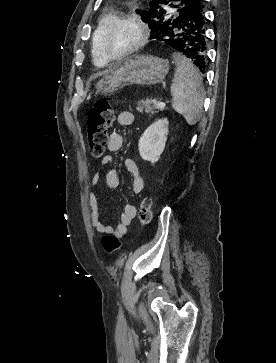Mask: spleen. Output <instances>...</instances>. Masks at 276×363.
<instances>
[{
	"label": "spleen",
	"mask_w": 276,
	"mask_h": 363,
	"mask_svg": "<svg viewBox=\"0 0 276 363\" xmlns=\"http://www.w3.org/2000/svg\"><path fill=\"white\" fill-rule=\"evenodd\" d=\"M172 58L176 65L171 85L172 107L189 125H194L202 117L205 97L202 78L189 59L180 53H173Z\"/></svg>",
	"instance_id": "3e777b00"
}]
</instances>
